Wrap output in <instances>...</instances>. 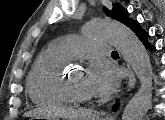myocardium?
<instances>
[{"label": "myocardium", "instance_id": "obj_1", "mask_svg": "<svg viewBox=\"0 0 165 120\" xmlns=\"http://www.w3.org/2000/svg\"><path fill=\"white\" fill-rule=\"evenodd\" d=\"M62 87H63L64 93L67 95V97L70 99V101L82 102V103H90V102L94 101L93 97L82 95V94L78 93L72 87V85L69 81V77L66 73L63 75Z\"/></svg>", "mask_w": 165, "mask_h": 120}]
</instances>
